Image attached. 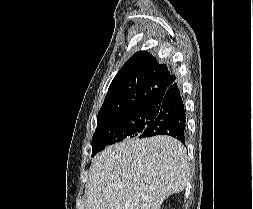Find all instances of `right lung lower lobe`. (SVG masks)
Returning <instances> with one entry per match:
<instances>
[{
	"mask_svg": "<svg viewBox=\"0 0 253 209\" xmlns=\"http://www.w3.org/2000/svg\"><path fill=\"white\" fill-rule=\"evenodd\" d=\"M152 106L155 108L157 116L139 138L168 135L185 144L186 115L177 83L174 82L162 98Z\"/></svg>",
	"mask_w": 253,
	"mask_h": 209,
	"instance_id": "98d812e1",
	"label": "right lung lower lobe"
}]
</instances>
